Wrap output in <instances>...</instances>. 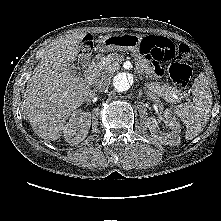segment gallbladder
Masks as SVG:
<instances>
[{
	"label": "gallbladder",
	"mask_w": 221,
	"mask_h": 221,
	"mask_svg": "<svg viewBox=\"0 0 221 221\" xmlns=\"http://www.w3.org/2000/svg\"><path fill=\"white\" fill-rule=\"evenodd\" d=\"M70 69H72V68H70ZM79 69V67H76V69H74V70H78ZM79 73V72H78Z\"/></svg>",
	"instance_id": "1"
}]
</instances>
